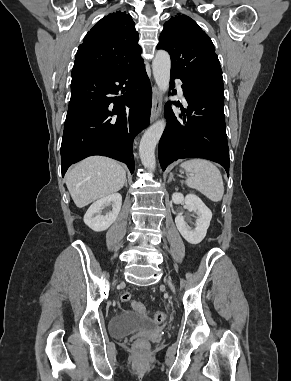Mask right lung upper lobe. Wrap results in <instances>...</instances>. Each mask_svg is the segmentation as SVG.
Segmentation results:
<instances>
[{
  "label": "right lung upper lobe",
  "instance_id": "obj_1",
  "mask_svg": "<svg viewBox=\"0 0 291 381\" xmlns=\"http://www.w3.org/2000/svg\"><path fill=\"white\" fill-rule=\"evenodd\" d=\"M138 32L130 14L115 12L101 19L78 47L72 71L113 73L141 57Z\"/></svg>",
  "mask_w": 291,
  "mask_h": 381
}]
</instances>
